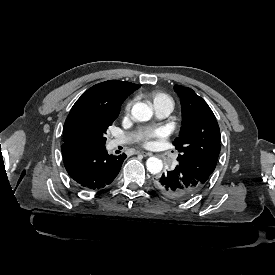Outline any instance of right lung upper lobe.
Wrapping results in <instances>:
<instances>
[{
	"mask_svg": "<svg viewBox=\"0 0 275 275\" xmlns=\"http://www.w3.org/2000/svg\"><path fill=\"white\" fill-rule=\"evenodd\" d=\"M137 88V84L117 80L94 85L75 102L67 116L64 129L75 118L85 113L95 111L119 113L123 100Z\"/></svg>",
	"mask_w": 275,
	"mask_h": 275,
	"instance_id": "cb5924a9",
	"label": "right lung upper lobe"
}]
</instances>
